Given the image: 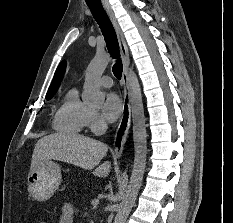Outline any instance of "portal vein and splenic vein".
<instances>
[{"mask_svg": "<svg viewBox=\"0 0 233 223\" xmlns=\"http://www.w3.org/2000/svg\"><path fill=\"white\" fill-rule=\"evenodd\" d=\"M91 203L93 206H98V201L97 202L91 201Z\"/></svg>", "mask_w": 233, "mask_h": 223, "instance_id": "portal-vein-and-splenic-vein-1", "label": "portal vein and splenic vein"}]
</instances>
